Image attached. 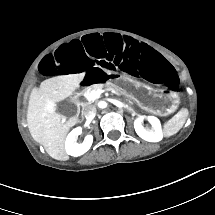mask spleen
I'll list each match as a JSON object with an SVG mask.
<instances>
[{"instance_id": "1", "label": "spleen", "mask_w": 215, "mask_h": 215, "mask_svg": "<svg viewBox=\"0 0 215 215\" xmlns=\"http://www.w3.org/2000/svg\"><path fill=\"white\" fill-rule=\"evenodd\" d=\"M187 114L182 111L178 112L169 121L164 124L163 134L165 137H170L176 134L184 125Z\"/></svg>"}]
</instances>
